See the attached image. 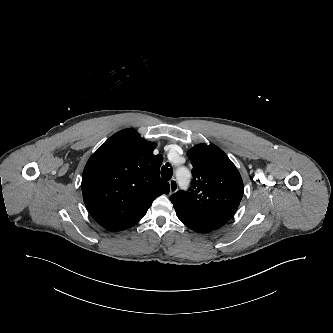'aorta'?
Returning a JSON list of instances; mask_svg holds the SVG:
<instances>
[{"mask_svg": "<svg viewBox=\"0 0 333 333\" xmlns=\"http://www.w3.org/2000/svg\"><path fill=\"white\" fill-rule=\"evenodd\" d=\"M176 178L180 185H186L190 179V172L187 168L185 167H179L176 170Z\"/></svg>", "mask_w": 333, "mask_h": 333, "instance_id": "762f6f07", "label": "aorta"}]
</instances>
